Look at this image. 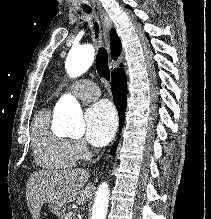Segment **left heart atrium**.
Returning <instances> with one entry per match:
<instances>
[{
  "mask_svg": "<svg viewBox=\"0 0 211 219\" xmlns=\"http://www.w3.org/2000/svg\"><path fill=\"white\" fill-rule=\"evenodd\" d=\"M86 138L94 146L107 144L117 128V115L107 101L92 105L85 114Z\"/></svg>",
  "mask_w": 211,
  "mask_h": 219,
  "instance_id": "39dd6f15",
  "label": "left heart atrium"
}]
</instances>
